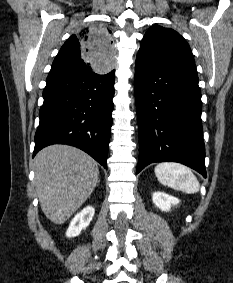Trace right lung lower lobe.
<instances>
[{"mask_svg": "<svg viewBox=\"0 0 233 283\" xmlns=\"http://www.w3.org/2000/svg\"><path fill=\"white\" fill-rule=\"evenodd\" d=\"M115 70L51 74L43 90L33 157L43 147L67 144L107 169Z\"/></svg>", "mask_w": 233, "mask_h": 283, "instance_id": "obj_1", "label": "right lung lower lobe"}]
</instances>
